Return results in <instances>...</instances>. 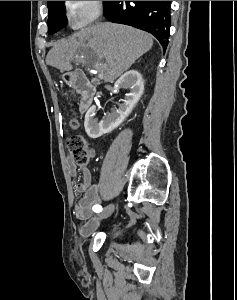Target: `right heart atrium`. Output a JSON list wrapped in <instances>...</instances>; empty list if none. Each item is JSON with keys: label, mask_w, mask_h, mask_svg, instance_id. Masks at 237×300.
Wrapping results in <instances>:
<instances>
[{"label": "right heart atrium", "mask_w": 237, "mask_h": 300, "mask_svg": "<svg viewBox=\"0 0 237 300\" xmlns=\"http://www.w3.org/2000/svg\"><path fill=\"white\" fill-rule=\"evenodd\" d=\"M64 8L71 27L80 29L100 17L103 3L102 1H64Z\"/></svg>", "instance_id": "1"}]
</instances>
